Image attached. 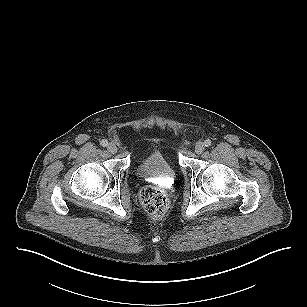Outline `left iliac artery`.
I'll return each instance as SVG.
<instances>
[{"label":"left iliac artery","mask_w":307,"mask_h":307,"mask_svg":"<svg viewBox=\"0 0 307 307\" xmlns=\"http://www.w3.org/2000/svg\"><path fill=\"white\" fill-rule=\"evenodd\" d=\"M211 144H212V142H211V140H209V139H207V140L204 141V145H205L206 147L211 146Z\"/></svg>","instance_id":"obj_1"}]
</instances>
